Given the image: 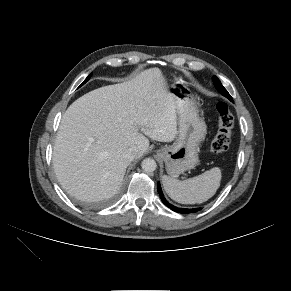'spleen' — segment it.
Instances as JSON below:
<instances>
[{
	"instance_id": "spleen-1",
	"label": "spleen",
	"mask_w": 291,
	"mask_h": 291,
	"mask_svg": "<svg viewBox=\"0 0 291 291\" xmlns=\"http://www.w3.org/2000/svg\"><path fill=\"white\" fill-rule=\"evenodd\" d=\"M221 181V170L214 167L201 175L179 181L168 176L162 177V183L168 196L181 204L203 203L217 191Z\"/></svg>"
}]
</instances>
